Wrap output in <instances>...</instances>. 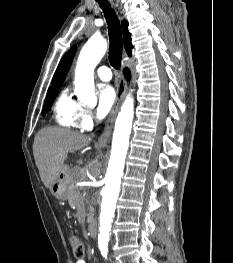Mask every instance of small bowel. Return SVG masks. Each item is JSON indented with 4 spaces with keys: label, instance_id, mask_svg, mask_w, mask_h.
<instances>
[{
    "label": "small bowel",
    "instance_id": "c3829d8e",
    "mask_svg": "<svg viewBox=\"0 0 233 263\" xmlns=\"http://www.w3.org/2000/svg\"><path fill=\"white\" fill-rule=\"evenodd\" d=\"M76 263H87V261L82 259V260H77Z\"/></svg>",
    "mask_w": 233,
    "mask_h": 263
}]
</instances>
